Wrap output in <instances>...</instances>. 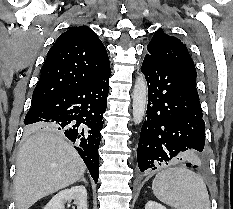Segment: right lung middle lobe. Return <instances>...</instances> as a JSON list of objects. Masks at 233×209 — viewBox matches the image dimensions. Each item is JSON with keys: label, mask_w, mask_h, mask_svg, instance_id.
Returning <instances> with one entry per match:
<instances>
[{"label": "right lung middle lobe", "mask_w": 233, "mask_h": 209, "mask_svg": "<svg viewBox=\"0 0 233 209\" xmlns=\"http://www.w3.org/2000/svg\"><path fill=\"white\" fill-rule=\"evenodd\" d=\"M38 127L47 128V129H50V130H54L55 129V128H53V126L47 125V124H41V125H38V126H35V127H28V129L31 130V129L38 128Z\"/></svg>", "instance_id": "obj_1"}]
</instances>
